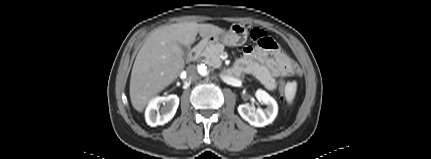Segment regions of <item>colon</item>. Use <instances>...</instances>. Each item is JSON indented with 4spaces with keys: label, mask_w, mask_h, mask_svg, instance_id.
Masks as SVG:
<instances>
[{
    "label": "colon",
    "mask_w": 431,
    "mask_h": 159,
    "mask_svg": "<svg viewBox=\"0 0 431 159\" xmlns=\"http://www.w3.org/2000/svg\"><path fill=\"white\" fill-rule=\"evenodd\" d=\"M250 37L253 41H255L256 43H259V44L268 45V43H269L267 33L261 29H258V28L251 30ZM285 89H286L285 83L281 81L280 82V95H281V100L283 103H285L287 101L285 98V95H284Z\"/></svg>",
    "instance_id": "5ec220e1"
}]
</instances>
